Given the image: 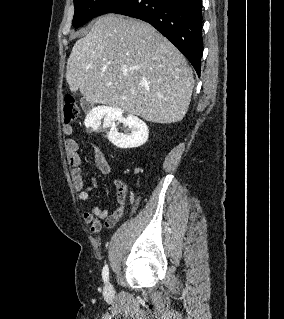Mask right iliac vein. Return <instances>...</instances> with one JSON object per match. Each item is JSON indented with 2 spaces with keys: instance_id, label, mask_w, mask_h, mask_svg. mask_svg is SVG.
Here are the masks:
<instances>
[{
  "instance_id": "obj_1",
  "label": "right iliac vein",
  "mask_w": 284,
  "mask_h": 319,
  "mask_svg": "<svg viewBox=\"0 0 284 319\" xmlns=\"http://www.w3.org/2000/svg\"><path fill=\"white\" fill-rule=\"evenodd\" d=\"M104 289L107 294H111L113 292V287L110 283H107Z\"/></svg>"
}]
</instances>
